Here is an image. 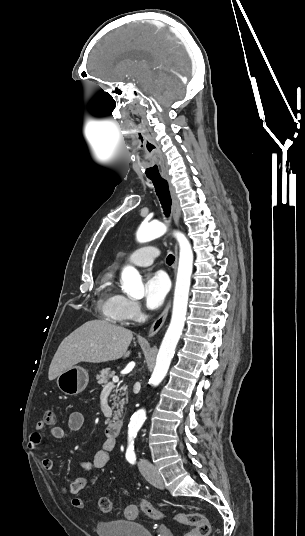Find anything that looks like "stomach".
Listing matches in <instances>:
<instances>
[{"instance_id":"obj_1","label":"stomach","mask_w":305,"mask_h":536,"mask_svg":"<svg viewBox=\"0 0 305 536\" xmlns=\"http://www.w3.org/2000/svg\"><path fill=\"white\" fill-rule=\"evenodd\" d=\"M89 376L80 366H72L57 376V386L66 396H76L88 386Z\"/></svg>"}]
</instances>
